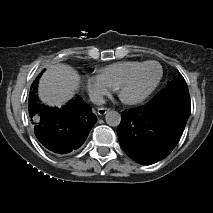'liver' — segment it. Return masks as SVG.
Wrapping results in <instances>:
<instances>
[{"label": "liver", "mask_w": 213, "mask_h": 213, "mask_svg": "<svg viewBox=\"0 0 213 213\" xmlns=\"http://www.w3.org/2000/svg\"><path fill=\"white\" fill-rule=\"evenodd\" d=\"M80 76L67 64H56L47 68L39 80L40 100L49 105L61 107L78 91Z\"/></svg>", "instance_id": "1"}]
</instances>
